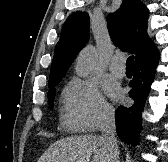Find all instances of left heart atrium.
<instances>
[{
	"instance_id": "obj_1",
	"label": "left heart atrium",
	"mask_w": 168,
	"mask_h": 162,
	"mask_svg": "<svg viewBox=\"0 0 168 162\" xmlns=\"http://www.w3.org/2000/svg\"><path fill=\"white\" fill-rule=\"evenodd\" d=\"M111 93L114 95V96H117L118 93L116 91H111Z\"/></svg>"
}]
</instances>
